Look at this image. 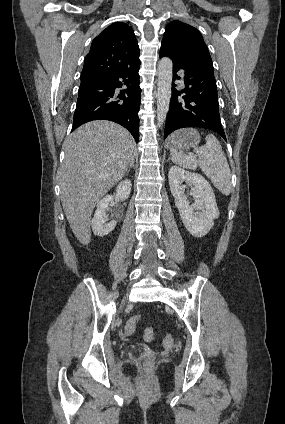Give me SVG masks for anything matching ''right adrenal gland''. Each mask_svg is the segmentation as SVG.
<instances>
[{
	"instance_id": "2a0ac1e0",
	"label": "right adrenal gland",
	"mask_w": 285,
	"mask_h": 424,
	"mask_svg": "<svg viewBox=\"0 0 285 424\" xmlns=\"http://www.w3.org/2000/svg\"><path fill=\"white\" fill-rule=\"evenodd\" d=\"M134 163H135V160H134V158H133V160H132V162H131L130 166L128 167V169H127V171H126V175H128V174H129V172H130V169H131L132 167H134Z\"/></svg>"
}]
</instances>
